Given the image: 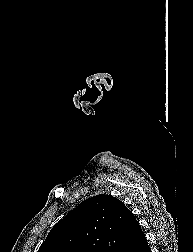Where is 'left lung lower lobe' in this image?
Wrapping results in <instances>:
<instances>
[{"mask_svg":"<svg viewBox=\"0 0 193 252\" xmlns=\"http://www.w3.org/2000/svg\"><path fill=\"white\" fill-rule=\"evenodd\" d=\"M123 252H151L147 240L138 225Z\"/></svg>","mask_w":193,"mask_h":252,"instance_id":"0a47b994","label":"left lung lower lobe"}]
</instances>
